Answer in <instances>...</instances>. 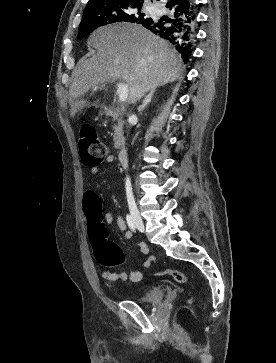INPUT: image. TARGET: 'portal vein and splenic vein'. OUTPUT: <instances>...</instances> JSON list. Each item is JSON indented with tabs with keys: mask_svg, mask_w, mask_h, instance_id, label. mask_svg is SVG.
I'll use <instances>...</instances> for the list:
<instances>
[{
	"mask_svg": "<svg viewBox=\"0 0 276 363\" xmlns=\"http://www.w3.org/2000/svg\"><path fill=\"white\" fill-rule=\"evenodd\" d=\"M117 94L120 102L126 101L128 97V85L125 83H118Z\"/></svg>",
	"mask_w": 276,
	"mask_h": 363,
	"instance_id": "portal-vein-and-splenic-vein-1",
	"label": "portal vein and splenic vein"
}]
</instances>
